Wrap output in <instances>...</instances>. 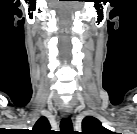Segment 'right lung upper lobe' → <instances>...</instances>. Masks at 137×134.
I'll return each mask as SVG.
<instances>
[{"label":"right lung upper lobe","instance_id":"right-lung-upper-lobe-1","mask_svg":"<svg viewBox=\"0 0 137 134\" xmlns=\"http://www.w3.org/2000/svg\"><path fill=\"white\" fill-rule=\"evenodd\" d=\"M50 123L46 117H40L38 121L35 123L31 134H50Z\"/></svg>","mask_w":137,"mask_h":134}]
</instances>
